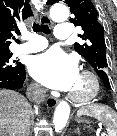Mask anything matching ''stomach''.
Wrapping results in <instances>:
<instances>
[{"label":"stomach","instance_id":"obj_1","mask_svg":"<svg viewBox=\"0 0 117 136\" xmlns=\"http://www.w3.org/2000/svg\"><path fill=\"white\" fill-rule=\"evenodd\" d=\"M77 121H78V122H81L82 120L78 118Z\"/></svg>","mask_w":117,"mask_h":136}]
</instances>
